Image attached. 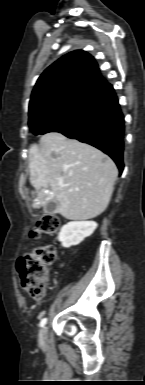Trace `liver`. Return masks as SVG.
<instances>
[{"label":"liver","mask_w":145,"mask_h":385,"mask_svg":"<svg viewBox=\"0 0 145 385\" xmlns=\"http://www.w3.org/2000/svg\"><path fill=\"white\" fill-rule=\"evenodd\" d=\"M30 183L37 197L32 207L57 203L69 220L95 218L107 208L118 170L97 148L59 132L44 134L29 149Z\"/></svg>","instance_id":"6515ba94"}]
</instances>
